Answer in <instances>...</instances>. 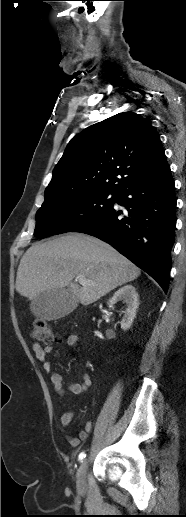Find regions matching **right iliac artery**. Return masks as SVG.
Wrapping results in <instances>:
<instances>
[{"label": "right iliac artery", "mask_w": 186, "mask_h": 517, "mask_svg": "<svg viewBox=\"0 0 186 517\" xmlns=\"http://www.w3.org/2000/svg\"><path fill=\"white\" fill-rule=\"evenodd\" d=\"M86 457V454L84 452L79 454V460L82 461Z\"/></svg>", "instance_id": "obj_1"}]
</instances>
